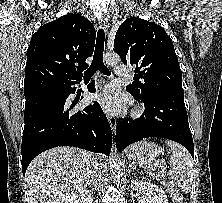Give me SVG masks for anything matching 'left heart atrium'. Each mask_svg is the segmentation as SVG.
Instances as JSON below:
<instances>
[{"mask_svg": "<svg viewBox=\"0 0 222 203\" xmlns=\"http://www.w3.org/2000/svg\"><path fill=\"white\" fill-rule=\"evenodd\" d=\"M98 102L109 112H120L126 105V99L115 87H106L97 95Z\"/></svg>", "mask_w": 222, "mask_h": 203, "instance_id": "obj_1", "label": "left heart atrium"}]
</instances>
